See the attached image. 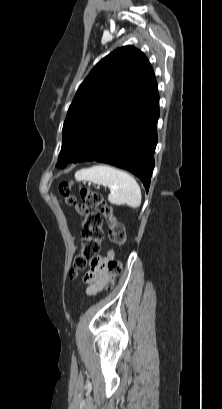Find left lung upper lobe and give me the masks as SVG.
Wrapping results in <instances>:
<instances>
[{
  "label": "left lung upper lobe",
  "instance_id": "5c2ea615",
  "mask_svg": "<svg viewBox=\"0 0 222 409\" xmlns=\"http://www.w3.org/2000/svg\"><path fill=\"white\" fill-rule=\"evenodd\" d=\"M156 94L153 69L141 51L124 46L111 52L82 82L68 109L58 165L77 160L127 99L147 101Z\"/></svg>",
  "mask_w": 222,
  "mask_h": 409
}]
</instances>
